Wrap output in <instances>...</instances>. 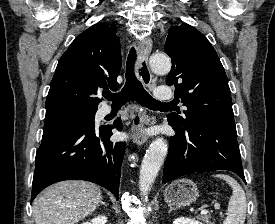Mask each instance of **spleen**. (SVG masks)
Wrapping results in <instances>:
<instances>
[{
  "label": "spleen",
  "instance_id": "obj_1",
  "mask_svg": "<svg viewBox=\"0 0 275 224\" xmlns=\"http://www.w3.org/2000/svg\"><path fill=\"white\" fill-rule=\"evenodd\" d=\"M215 177L226 181L233 191L228 202L227 217L223 224H244L247 204L243 188L229 175L218 174Z\"/></svg>",
  "mask_w": 275,
  "mask_h": 224
}]
</instances>
